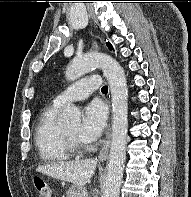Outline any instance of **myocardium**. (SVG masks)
<instances>
[{"mask_svg":"<svg viewBox=\"0 0 191 197\" xmlns=\"http://www.w3.org/2000/svg\"><path fill=\"white\" fill-rule=\"evenodd\" d=\"M66 145L71 153H78L81 149V145L76 137L70 135L65 129H63Z\"/></svg>","mask_w":191,"mask_h":197,"instance_id":"obj_1","label":"myocardium"}]
</instances>
